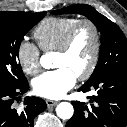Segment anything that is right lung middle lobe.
I'll return each instance as SVG.
<instances>
[{
	"instance_id": "right-lung-middle-lobe-1",
	"label": "right lung middle lobe",
	"mask_w": 127,
	"mask_h": 127,
	"mask_svg": "<svg viewBox=\"0 0 127 127\" xmlns=\"http://www.w3.org/2000/svg\"><path fill=\"white\" fill-rule=\"evenodd\" d=\"M45 13L0 12V86L17 87L27 81L18 62L19 47Z\"/></svg>"
}]
</instances>
